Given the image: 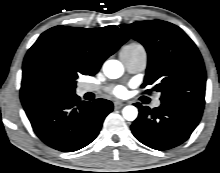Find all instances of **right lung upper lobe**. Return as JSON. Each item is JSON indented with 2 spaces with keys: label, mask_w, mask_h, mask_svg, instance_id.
I'll use <instances>...</instances> for the list:
<instances>
[{
  "label": "right lung upper lobe",
  "mask_w": 220,
  "mask_h": 173,
  "mask_svg": "<svg viewBox=\"0 0 220 173\" xmlns=\"http://www.w3.org/2000/svg\"><path fill=\"white\" fill-rule=\"evenodd\" d=\"M116 26H56L40 35L23 62L20 98L23 105L57 92L74 77L95 75L102 63L127 40Z\"/></svg>",
  "instance_id": "1"
}]
</instances>
